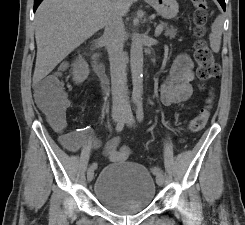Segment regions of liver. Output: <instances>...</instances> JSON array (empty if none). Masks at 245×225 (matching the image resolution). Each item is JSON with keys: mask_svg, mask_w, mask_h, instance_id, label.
I'll list each match as a JSON object with an SVG mask.
<instances>
[{"mask_svg": "<svg viewBox=\"0 0 245 225\" xmlns=\"http://www.w3.org/2000/svg\"><path fill=\"white\" fill-rule=\"evenodd\" d=\"M125 15L133 0H116ZM112 0H44L35 14L34 82L46 77L84 41L102 29Z\"/></svg>", "mask_w": 245, "mask_h": 225, "instance_id": "1", "label": "liver"}]
</instances>
